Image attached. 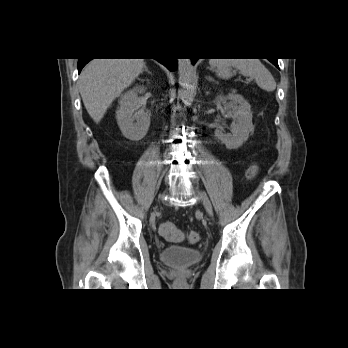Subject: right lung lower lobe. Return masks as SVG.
I'll use <instances>...</instances> for the list:
<instances>
[{
  "label": "right lung lower lobe",
  "instance_id": "obj_1",
  "mask_svg": "<svg viewBox=\"0 0 348 348\" xmlns=\"http://www.w3.org/2000/svg\"><path fill=\"white\" fill-rule=\"evenodd\" d=\"M91 59H79L78 61V71L81 72L82 68L90 61ZM163 65H165L170 71H174L177 67L176 60L173 58H163L156 59Z\"/></svg>",
  "mask_w": 348,
  "mask_h": 348
}]
</instances>
